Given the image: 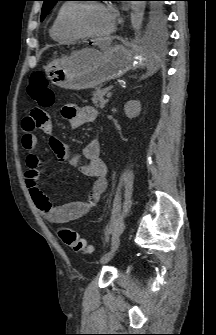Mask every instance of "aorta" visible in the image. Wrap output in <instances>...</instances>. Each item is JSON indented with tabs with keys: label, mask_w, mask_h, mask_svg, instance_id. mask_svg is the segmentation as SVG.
<instances>
[{
	"label": "aorta",
	"mask_w": 216,
	"mask_h": 335,
	"mask_svg": "<svg viewBox=\"0 0 216 335\" xmlns=\"http://www.w3.org/2000/svg\"><path fill=\"white\" fill-rule=\"evenodd\" d=\"M145 4L142 1H133L131 4V25L137 30L143 20Z\"/></svg>",
	"instance_id": "obj_1"
}]
</instances>
